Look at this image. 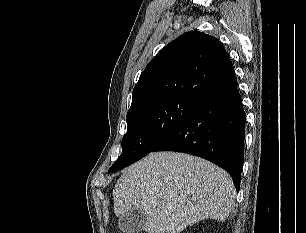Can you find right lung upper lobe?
I'll list each match as a JSON object with an SVG mask.
<instances>
[{
    "mask_svg": "<svg viewBox=\"0 0 306 233\" xmlns=\"http://www.w3.org/2000/svg\"><path fill=\"white\" fill-rule=\"evenodd\" d=\"M236 85L233 64L219 40L189 31L166 45L146 66L133 89L128 112L173 97L202 105Z\"/></svg>",
    "mask_w": 306,
    "mask_h": 233,
    "instance_id": "cb5924a9",
    "label": "right lung upper lobe"
}]
</instances>
